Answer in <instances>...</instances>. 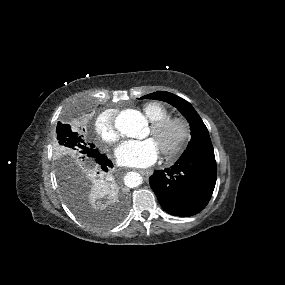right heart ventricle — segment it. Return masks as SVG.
Listing matches in <instances>:
<instances>
[{"instance_id": "obj_1", "label": "right heart ventricle", "mask_w": 285, "mask_h": 285, "mask_svg": "<svg viewBox=\"0 0 285 285\" xmlns=\"http://www.w3.org/2000/svg\"><path fill=\"white\" fill-rule=\"evenodd\" d=\"M142 111L151 122L164 119L170 115L169 109L164 104L156 101L145 103L142 106Z\"/></svg>"}]
</instances>
